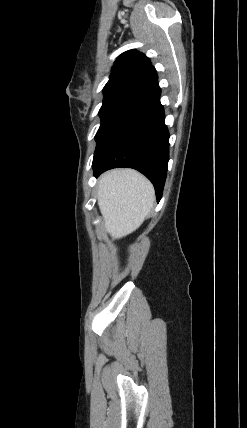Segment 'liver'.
Returning <instances> with one entry per match:
<instances>
[{"mask_svg": "<svg viewBox=\"0 0 247 428\" xmlns=\"http://www.w3.org/2000/svg\"><path fill=\"white\" fill-rule=\"evenodd\" d=\"M97 197L105 229L115 240L139 228L153 207L155 191L136 170L114 169L99 178Z\"/></svg>", "mask_w": 247, "mask_h": 428, "instance_id": "1", "label": "liver"}]
</instances>
